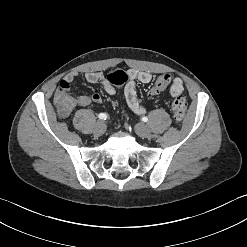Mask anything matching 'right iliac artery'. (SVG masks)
<instances>
[{
    "label": "right iliac artery",
    "mask_w": 247,
    "mask_h": 247,
    "mask_svg": "<svg viewBox=\"0 0 247 247\" xmlns=\"http://www.w3.org/2000/svg\"><path fill=\"white\" fill-rule=\"evenodd\" d=\"M98 117H99V119H101V120H106L107 117H108V115L105 114V113H100V114L98 115Z\"/></svg>",
    "instance_id": "obj_1"
}]
</instances>
